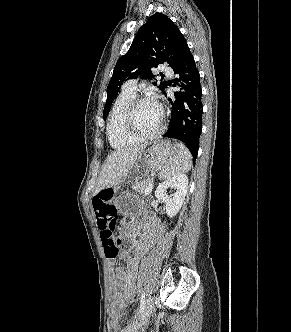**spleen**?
<instances>
[{
  "instance_id": "spleen-1",
  "label": "spleen",
  "mask_w": 291,
  "mask_h": 332,
  "mask_svg": "<svg viewBox=\"0 0 291 332\" xmlns=\"http://www.w3.org/2000/svg\"><path fill=\"white\" fill-rule=\"evenodd\" d=\"M177 154L163 167L159 173L161 179H168L173 176L186 173L191 169L192 156L188 148L183 143H176Z\"/></svg>"
}]
</instances>
